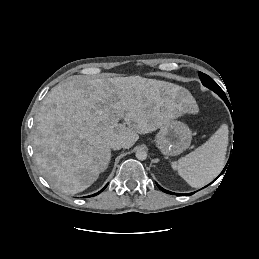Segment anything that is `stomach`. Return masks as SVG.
I'll return each instance as SVG.
<instances>
[{"mask_svg": "<svg viewBox=\"0 0 259 259\" xmlns=\"http://www.w3.org/2000/svg\"><path fill=\"white\" fill-rule=\"evenodd\" d=\"M191 139L190 128L185 123L173 119L160 126L155 144L163 155L176 156L190 146Z\"/></svg>", "mask_w": 259, "mask_h": 259, "instance_id": "1", "label": "stomach"}]
</instances>
